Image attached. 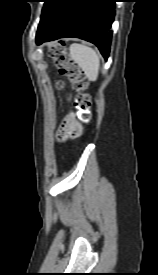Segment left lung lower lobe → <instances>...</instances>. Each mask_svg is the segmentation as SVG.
Returning a JSON list of instances; mask_svg holds the SVG:
<instances>
[{
    "label": "left lung lower lobe",
    "instance_id": "left-lung-lower-lobe-1",
    "mask_svg": "<svg viewBox=\"0 0 158 275\" xmlns=\"http://www.w3.org/2000/svg\"><path fill=\"white\" fill-rule=\"evenodd\" d=\"M116 0H48L36 34L37 45L64 37L94 43L105 59L111 42Z\"/></svg>",
    "mask_w": 158,
    "mask_h": 275
}]
</instances>
